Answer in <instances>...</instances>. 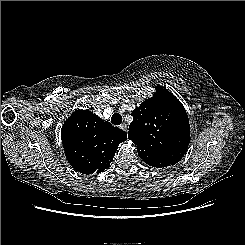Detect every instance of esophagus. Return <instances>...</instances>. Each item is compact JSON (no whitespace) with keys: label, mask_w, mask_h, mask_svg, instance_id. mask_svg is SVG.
Here are the masks:
<instances>
[{"label":"esophagus","mask_w":245,"mask_h":245,"mask_svg":"<svg viewBox=\"0 0 245 245\" xmlns=\"http://www.w3.org/2000/svg\"><path fill=\"white\" fill-rule=\"evenodd\" d=\"M120 128L123 129L125 132L128 131L127 125H126L125 123H122V124L120 125Z\"/></svg>","instance_id":"obj_1"}]
</instances>
